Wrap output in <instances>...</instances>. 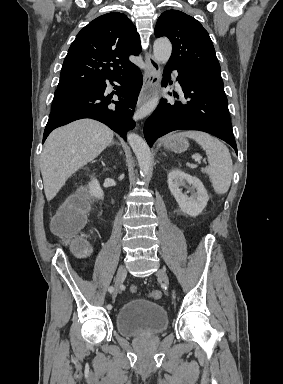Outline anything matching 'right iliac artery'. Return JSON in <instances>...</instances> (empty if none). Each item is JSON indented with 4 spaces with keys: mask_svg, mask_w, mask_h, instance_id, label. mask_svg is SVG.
Listing matches in <instances>:
<instances>
[{
    "mask_svg": "<svg viewBox=\"0 0 283 384\" xmlns=\"http://www.w3.org/2000/svg\"><path fill=\"white\" fill-rule=\"evenodd\" d=\"M113 290H114L113 286H110V287L108 288V291H109L110 293H112ZM107 309H108V310H111V309H112V305H111V304H108V305H107Z\"/></svg>",
    "mask_w": 283,
    "mask_h": 384,
    "instance_id": "1",
    "label": "right iliac artery"
}]
</instances>
